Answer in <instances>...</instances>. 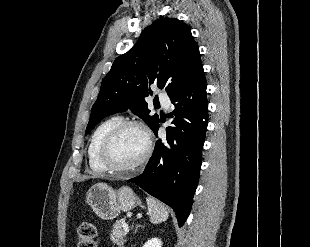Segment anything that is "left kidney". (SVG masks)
I'll return each mask as SVG.
<instances>
[{
  "label": "left kidney",
  "instance_id": "left-kidney-1",
  "mask_svg": "<svg viewBox=\"0 0 310 247\" xmlns=\"http://www.w3.org/2000/svg\"><path fill=\"white\" fill-rule=\"evenodd\" d=\"M143 247H162V241L159 238L148 240Z\"/></svg>",
  "mask_w": 310,
  "mask_h": 247
}]
</instances>
